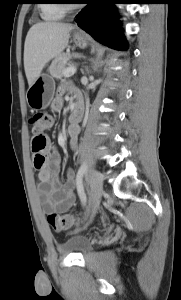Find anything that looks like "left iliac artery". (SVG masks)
Instances as JSON below:
<instances>
[{
	"label": "left iliac artery",
	"instance_id": "obj_1",
	"mask_svg": "<svg viewBox=\"0 0 181 300\" xmlns=\"http://www.w3.org/2000/svg\"><path fill=\"white\" fill-rule=\"evenodd\" d=\"M87 169H88V164L86 161H84L81 164L76 175L77 192L83 205L86 204V194L84 192V187H83V176L87 172Z\"/></svg>",
	"mask_w": 181,
	"mask_h": 300
}]
</instances>
